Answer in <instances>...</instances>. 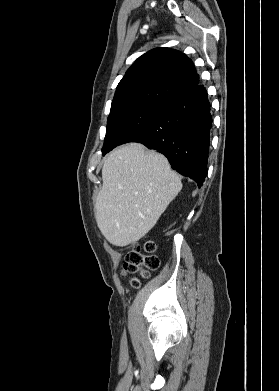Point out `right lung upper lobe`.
Wrapping results in <instances>:
<instances>
[{
  "instance_id": "obj_1",
  "label": "right lung upper lobe",
  "mask_w": 279,
  "mask_h": 391,
  "mask_svg": "<svg viewBox=\"0 0 279 391\" xmlns=\"http://www.w3.org/2000/svg\"><path fill=\"white\" fill-rule=\"evenodd\" d=\"M199 84L193 62L183 53L156 48L140 56L119 82L111 112L140 104L164 105Z\"/></svg>"
}]
</instances>
